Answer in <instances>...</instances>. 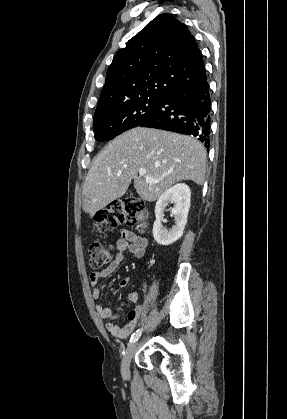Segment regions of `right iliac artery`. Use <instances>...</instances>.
Instances as JSON below:
<instances>
[{
    "instance_id": "82829eb1",
    "label": "right iliac artery",
    "mask_w": 287,
    "mask_h": 419,
    "mask_svg": "<svg viewBox=\"0 0 287 419\" xmlns=\"http://www.w3.org/2000/svg\"><path fill=\"white\" fill-rule=\"evenodd\" d=\"M141 332H142V330L138 329L135 333H133L131 338H130V343L136 342L139 339V337L141 336Z\"/></svg>"
}]
</instances>
